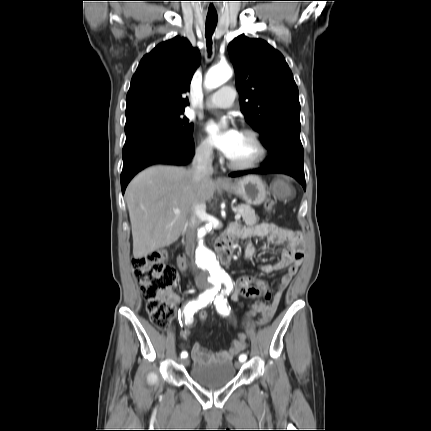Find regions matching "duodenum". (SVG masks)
<instances>
[{"label": "duodenum", "mask_w": 431, "mask_h": 431, "mask_svg": "<svg viewBox=\"0 0 431 431\" xmlns=\"http://www.w3.org/2000/svg\"><path fill=\"white\" fill-rule=\"evenodd\" d=\"M236 237H238L237 233L234 230H231L228 236L222 239L218 244V252H219L221 262L223 264H228L231 261L233 250L235 247ZM179 260H183L186 264V260L184 256H180L178 258V261Z\"/></svg>", "instance_id": "duodenum-1"}]
</instances>
